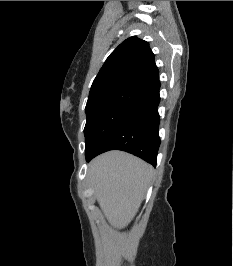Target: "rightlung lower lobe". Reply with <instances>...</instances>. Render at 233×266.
<instances>
[{
  "mask_svg": "<svg viewBox=\"0 0 233 266\" xmlns=\"http://www.w3.org/2000/svg\"><path fill=\"white\" fill-rule=\"evenodd\" d=\"M160 85L148 92L147 96L114 129V131L90 154L89 161L100 153L118 149L132 153L156 166L157 152L160 145L158 135Z\"/></svg>",
  "mask_w": 233,
  "mask_h": 266,
  "instance_id": "obj_1",
  "label": "right lung lower lobe"
}]
</instances>
